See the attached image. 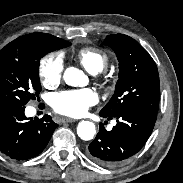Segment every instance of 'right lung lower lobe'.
Returning a JSON list of instances; mask_svg holds the SVG:
<instances>
[{
  "mask_svg": "<svg viewBox=\"0 0 183 183\" xmlns=\"http://www.w3.org/2000/svg\"><path fill=\"white\" fill-rule=\"evenodd\" d=\"M24 110L20 104L0 106V152L15 160L40 154L57 127L50 116L28 119Z\"/></svg>",
  "mask_w": 183,
  "mask_h": 183,
  "instance_id": "obj_1",
  "label": "right lung lower lobe"
}]
</instances>
